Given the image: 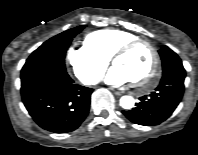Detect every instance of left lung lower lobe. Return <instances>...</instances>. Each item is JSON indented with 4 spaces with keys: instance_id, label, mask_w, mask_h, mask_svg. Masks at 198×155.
<instances>
[{
    "instance_id": "1",
    "label": "left lung lower lobe",
    "mask_w": 198,
    "mask_h": 155,
    "mask_svg": "<svg viewBox=\"0 0 198 155\" xmlns=\"http://www.w3.org/2000/svg\"><path fill=\"white\" fill-rule=\"evenodd\" d=\"M184 69L162 76L159 86L149 96L140 97L136 107L123 114L133 123L144 126L158 125L168 119L180 103L184 92ZM149 113L143 117L142 113Z\"/></svg>"
}]
</instances>
